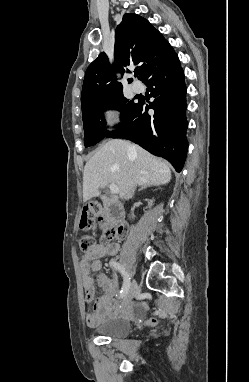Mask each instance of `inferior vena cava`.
Masks as SVG:
<instances>
[{
    "instance_id": "inferior-vena-cava-1",
    "label": "inferior vena cava",
    "mask_w": 249,
    "mask_h": 382,
    "mask_svg": "<svg viewBox=\"0 0 249 382\" xmlns=\"http://www.w3.org/2000/svg\"><path fill=\"white\" fill-rule=\"evenodd\" d=\"M134 192H135V184H133V185L129 188V190H128V192H127V195L125 196V199H130V198H132V196L134 195Z\"/></svg>"
}]
</instances>
